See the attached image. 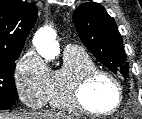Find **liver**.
Masks as SVG:
<instances>
[{
	"label": "liver",
	"mask_w": 142,
	"mask_h": 119,
	"mask_svg": "<svg viewBox=\"0 0 142 119\" xmlns=\"http://www.w3.org/2000/svg\"><path fill=\"white\" fill-rule=\"evenodd\" d=\"M68 116L42 111H30L17 114H0V119H68Z\"/></svg>",
	"instance_id": "1"
}]
</instances>
